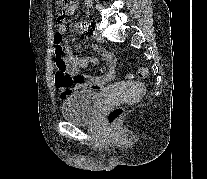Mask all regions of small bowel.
I'll return each mask as SVG.
<instances>
[{
  "label": "small bowel",
  "mask_w": 207,
  "mask_h": 179,
  "mask_svg": "<svg viewBox=\"0 0 207 179\" xmlns=\"http://www.w3.org/2000/svg\"><path fill=\"white\" fill-rule=\"evenodd\" d=\"M76 10V4L71 2L67 4L66 10L63 15L59 16L56 20L57 31L62 35L66 32L65 16L72 15ZM92 49L98 53L104 60L105 65L102 70L93 75H82L80 69L89 63L98 64V59L95 56H90L85 59L77 58L71 55V50L66 47L65 51L68 54L67 63L70 74L78 78L76 87L82 90H100L106 85L114 82L117 74L116 70V57L112 52L107 51L98 45H92Z\"/></svg>",
  "instance_id": "1"
}]
</instances>
